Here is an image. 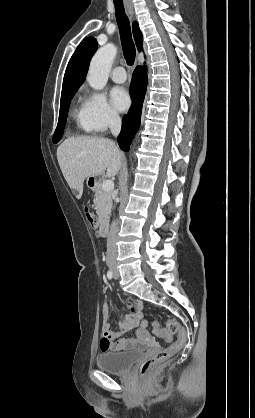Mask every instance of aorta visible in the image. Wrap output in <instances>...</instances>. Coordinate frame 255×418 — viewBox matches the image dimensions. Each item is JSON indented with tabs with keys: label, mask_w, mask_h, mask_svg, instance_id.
Wrapping results in <instances>:
<instances>
[{
	"label": "aorta",
	"mask_w": 255,
	"mask_h": 418,
	"mask_svg": "<svg viewBox=\"0 0 255 418\" xmlns=\"http://www.w3.org/2000/svg\"><path fill=\"white\" fill-rule=\"evenodd\" d=\"M116 53L117 48L113 44H107L92 57L87 81L93 89L101 90L105 87Z\"/></svg>",
	"instance_id": "aorta-1"
}]
</instances>
